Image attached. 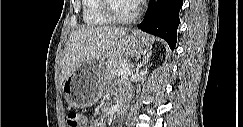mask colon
<instances>
[{
    "mask_svg": "<svg viewBox=\"0 0 243 127\" xmlns=\"http://www.w3.org/2000/svg\"><path fill=\"white\" fill-rule=\"evenodd\" d=\"M66 121L69 127H84V121L77 112H69Z\"/></svg>",
    "mask_w": 243,
    "mask_h": 127,
    "instance_id": "1",
    "label": "colon"
}]
</instances>
